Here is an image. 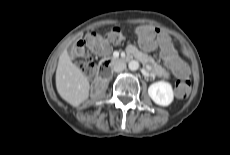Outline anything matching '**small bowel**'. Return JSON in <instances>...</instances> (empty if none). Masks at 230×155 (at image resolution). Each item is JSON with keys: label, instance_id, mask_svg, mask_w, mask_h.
Returning <instances> with one entry per match:
<instances>
[{"label": "small bowel", "instance_id": "c3829d8e", "mask_svg": "<svg viewBox=\"0 0 230 155\" xmlns=\"http://www.w3.org/2000/svg\"><path fill=\"white\" fill-rule=\"evenodd\" d=\"M139 38L145 50L154 49L156 44L162 50V56L173 72L182 64L177 57L178 51L176 46L173 45V39L167 35L165 30L151 24L140 29Z\"/></svg>", "mask_w": 230, "mask_h": 155}]
</instances>
